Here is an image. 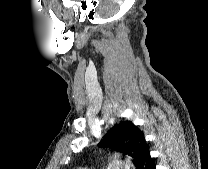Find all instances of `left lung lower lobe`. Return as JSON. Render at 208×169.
<instances>
[{"mask_svg": "<svg viewBox=\"0 0 208 169\" xmlns=\"http://www.w3.org/2000/svg\"><path fill=\"white\" fill-rule=\"evenodd\" d=\"M136 169H155V164L152 161L149 149H146L141 155Z\"/></svg>", "mask_w": 208, "mask_h": 169, "instance_id": "obj_1", "label": "left lung lower lobe"}]
</instances>
